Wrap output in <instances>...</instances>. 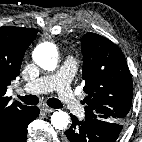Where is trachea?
I'll list each match as a JSON object with an SVG mask.
<instances>
[{
  "instance_id": "3493384b",
  "label": "trachea",
  "mask_w": 142,
  "mask_h": 142,
  "mask_svg": "<svg viewBox=\"0 0 142 142\" xmlns=\"http://www.w3.org/2000/svg\"><path fill=\"white\" fill-rule=\"evenodd\" d=\"M21 101L28 105H36L39 102V99L35 95H25V96H18ZM48 106L54 109L62 108V103L56 98H50L47 101Z\"/></svg>"
}]
</instances>
